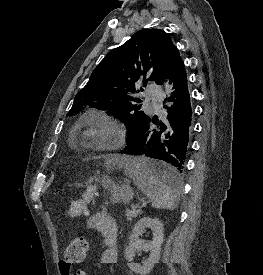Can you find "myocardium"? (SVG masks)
Listing matches in <instances>:
<instances>
[{
  "label": "myocardium",
  "instance_id": "obj_1",
  "mask_svg": "<svg viewBox=\"0 0 263 275\" xmlns=\"http://www.w3.org/2000/svg\"><path fill=\"white\" fill-rule=\"evenodd\" d=\"M119 124L104 112H94L86 117L79 130L83 144L90 148L112 149L121 140Z\"/></svg>",
  "mask_w": 263,
  "mask_h": 275
}]
</instances>
